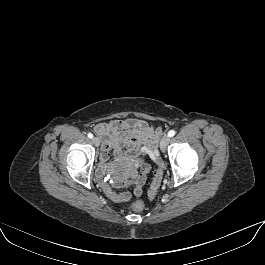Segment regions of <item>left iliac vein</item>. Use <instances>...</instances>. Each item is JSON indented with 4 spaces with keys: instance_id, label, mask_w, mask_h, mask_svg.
I'll use <instances>...</instances> for the list:
<instances>
[{
    "instance_id": "obj_1",
    "label": "left iliac vein",
    "mask_w": 265,
    "mask_h": 265,
    "mask_svg": "<svg viewBox=\"0 0 265 265\" xmlns=\"http://www.w3.org/2000/svg\"><path fill=\"white\" fill-rule=\"evenodd\" d=\"M169 141H170V138H169L168 135H164V136L162 137V139H161V141H160V149H161L162 151H165V150H166Z\"/></svg>"
}]
</instances>
